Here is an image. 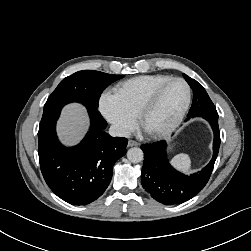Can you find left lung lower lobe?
Here are the masks:
<instances>
[{
  "label": "left lung lower lobe",
  "mask_w": 251,
  "mask_h": 251,
  "mask_svg": "<svg viewBox=\"0 0 251 251\" xmlns=\"http://www.w3.org/2000/svg\"><path fill=\"white\" fill-rule=\"evenodd\" d=\"M193 101L198 102V99L193 96ZM201 117L211 124L214 141L213 157L198 173L187 176L175 170L167 159V143L164 140L141 146L144 152L141 183L145 190L160 203L174 205L186 202L197 195L210 178L220 146L218 116L201 115Z\"/></svg>",
  "instance_id": "1"
}]
</instances>
